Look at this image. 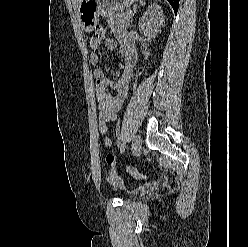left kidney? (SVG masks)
I'll return each instance as SVG.
<instances>
[{
  "instance_id": "5707ae66",
  "label": "left kidney",
  "mask_w": 248,
  "mask_h": 247,
  "mask_svg": "<svg viewBox=\"0 0 248 247\" xmlns=\"http://www.w3.org/2000/svg\"><path fill=\"white\" fill-rule=\"evenodd\" d=\"M165 18L161 7L152 4L139 19V31L145 36L156 37L161 32Z\"/></svg>"
}]
</instances>
